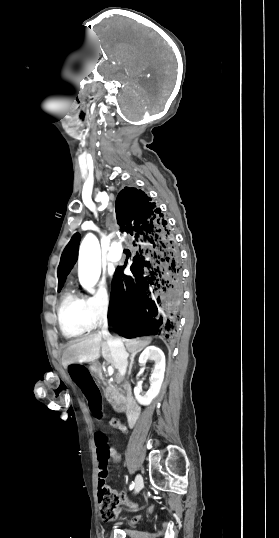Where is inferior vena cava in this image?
<instances>
[{"label": "inferior vena cava", "instance_id": "602c4592", "mask_svg": "<svg viewBox=\"0 0 279 538\" xmlns=\"http://www.w3.org/2000/svg\"><path fill=\"white\" fill-rule=\"evenodd\" d=\"M99 320H100L99 326L100 328L102 327V330L99 332L102 334L105 333V338H107V343H108V346L110 347L111 355L112 357L115 358L114 359L115 362L113 365L115 366V368L119 369L120 375L123 376L126 372V367L128 365L127 364L128 354L125 351L123 341L119 337V335H111L107 331V327H108L107 312H103ZM101 324H103V326Z\"/></svg>", "mask_w": 279, "mask_h": 538}]
</instances>
